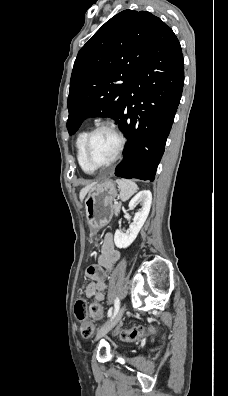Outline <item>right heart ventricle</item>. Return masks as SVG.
<instances>
[{
    "label": "right heart ventricle",
    "instance_id": "right-heart-ventricle-1",
    "mask_svg": "<svg viewBox=\"0 0 228 396\" xmlns=\"http://www.w3.org/2000/svg\"><path fill=\"white\" fill-rule=\"evenodd\" d=\"M88 133L89 131L87 129L82 130L81 132L78 133L75 139V152H76V158L78 164L81 167V169L86 173H92L93 170L87 166L83 156V146Z\"/></svg>",
    "mask_w": 228,
    "mask_h": 396
}]
</instances>
